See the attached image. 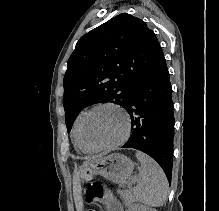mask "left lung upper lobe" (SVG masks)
I'll use <instances>...</instances> for the list:
<instances>
[{
	"label": "left lung upper lobe",
	"mask_w": 219,
	"mask_h": 211,
	"mask_svg": "<svg viewBox=\"0 0 219 211\" xmlns=\"http://www.w3.org/2000/svg\"><path fill=\"white\" fill-rule=\"evenodd\" d=\"M163 56L154 32L127 13L82 36L63 80L68 132L89 105L111 102L125 108L135 85Z\"/></svg>",
	"instance_id": "5c2ea615"
}]
</instances>
